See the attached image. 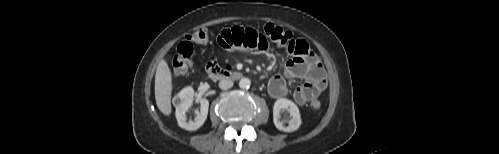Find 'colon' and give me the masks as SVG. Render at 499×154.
Segmentation results:
<instances>
[{
  "label": "colon",
  "mask_w": 499,
  "mask_h": 154,
  "mask_svg": "<svg viewBox=\"0 0 499 154\" xmlns=\"http://www.w3.org/2000/svg\"><path fill=\"white\" fill-rule=\"evenodd\" d=\"M264 34L274 43L283 45L286 44L292 37L291 33L279 26L268 23L263 27ZM207 32L200 30L196 33L187 35L178 45L177 50L172 59V69L176 74H184L192 65L194 57V43L202 42L206 39ZM209 69L219 70L220 67L211 63ZM311 107L314 110L321 108L319 100L315 99L311 102Z\"/></svg>",
  "instance_id": "1"
}]
</instances>
